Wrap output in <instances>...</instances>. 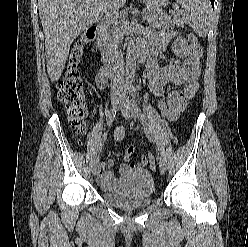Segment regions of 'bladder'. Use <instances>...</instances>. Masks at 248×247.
<instances>
[{
	"mask_svg": "<svg viewBox=\"0 0 248 247\" xmlns=\"http://www.w3.org/2000/svg\"><path fill=\"white\" fill-rule=\"evenodd\" d=\"M156 191L154 178L146 169H131L117 193L103 191L102 197L108 203L121 207H141L149 205Z\"/></svg>",
	"mask_w": 248,
	"mask_h": 247,
	"instance_id": "bladder-1",
	"label": "bladder"
}]
</instances>
